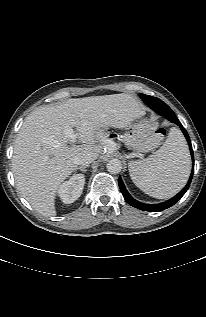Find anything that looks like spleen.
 <instances>
[{"instance_id": "3e777b00", "label": "spleen", "mask_w": 206, "mask_h": 317, "mask_svg": "<svg viewBox=\"0 0 206 317\" xmlns=\"http://www.w3.org/2000/svg\"><path fill=\"white\" fill-rule=\"evenodd\" d=\"M191 168L188 146L182 133L172 128L163 146L146 159L129 163L134 184L146 194L169 198L186 184Z\"/></svg>"}]
</instances>
